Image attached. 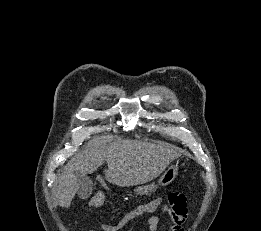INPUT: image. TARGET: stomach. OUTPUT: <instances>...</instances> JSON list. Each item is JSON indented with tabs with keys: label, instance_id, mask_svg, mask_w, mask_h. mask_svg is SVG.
I'll use <instances>...</instances> for the list:
<instances>
[{
	"label": "stomach",
	"instance_id": "stomach-1",
	"mask_svg": "<svg viewBox=\"0 0 261 231\" xmlns=\"http://www.w3.org/2000/svg\"><path fill=\"white\" fill-rule=\"evenodd\" d=\"M179 167L178 165H171L168 169L164 172V174L159 178L158 183L166 186L170 184L178 175ZM156 189V185L154 183L145 185V186H138L134 189V193L136 195H148L154 192Z\"/></svg>",
	"mask_w": 261,
	"mask_h": 231
}]
</instances>
